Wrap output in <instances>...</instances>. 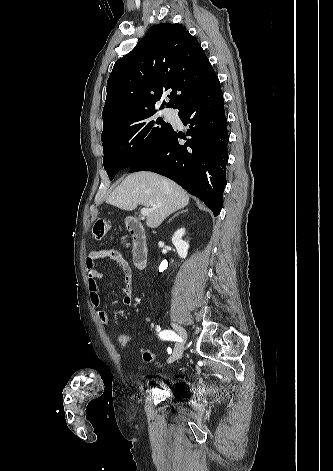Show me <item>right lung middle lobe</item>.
<instances>
[{
    "label": "right lung middle lobe",
    "instance_id": "dd1d6c3e",
    "mask_svg": "<svg viewBox=\"0 0 333 471\" xmlns=\"http://www.w3.org/2000/svg\"><path fill=\"white\" fill-rule=\"evenodd\" d=\"M155 113V109L140 112L102 132L103 164L110 180L139 161L169 132L172 126L160 117L154 118Z\"/></svg>",
    "mask_w": 333,
    "mask_h": 471
}]
</instances>
